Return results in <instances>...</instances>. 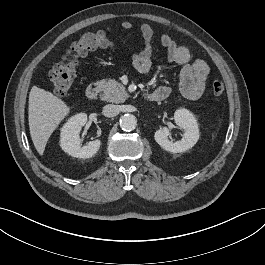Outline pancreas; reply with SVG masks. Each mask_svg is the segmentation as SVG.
Returning a JSON list of instances; mask_svg holds the SVG:
<instances>
[{
  "instance_id": "cf45deb5",
  "label": "pancreas",
  "mask_w": 265,
  "mask_h": 265,
  "mask_svg": "<svg viewBox=\"0 0 265 265\" xmlns=\"http://www.w3.org/2000/svg\"><path fill=\"white\" fill-rule=\"evenodd\" d=\"M97 85L102 91V95L100 97L101 100L112 103H121L128 98L125 87L116 80H100L97 82Z\"/></svg>"
}]
</instances>
